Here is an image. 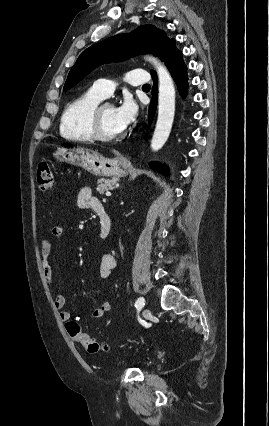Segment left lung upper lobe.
<instances>
[{"mask_svg":"<svg viewBox=\"0 0 269 426\" xmlns=\"http://www.w3.org/2000/svg\"><path fill=\"white\" fill-rule=\"evenodd\" d=\"M173 40L153 25H144L129 35H116L92 45L78 57L68 74L63 90L71 89L103 63L125 60L130 56L146 53L160 57Z\"/></svg>","mask_w":269,"mask_h":426,"instance_id":"obj_1","label":"left lung upper lobe"}]
</instances>
